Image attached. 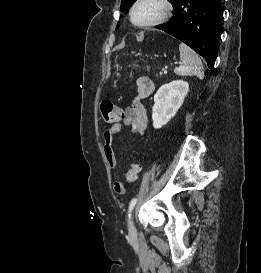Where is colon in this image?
Segmentation results:
<instances>
[{
  "label": "colon",
  "mask_w": 261,
  "mask_h": 273,
  "mask_svg": "<svg viewBox=\"0 0 261 273\" xmlns=\"http://www.w3.org/2000/svg\"><path fill=\"white\" fill-rule=\"evenodd\" d=\"M101 112L103 118L108 124H116L121 118V110L111 101H103L101 103ZM140 165L132 163L124 175V181H117L116 188L119 192L125 190V183L134 182L140 173Z\"/></svg>",
  "instance_id": "colon-1"
}]
</instances>
